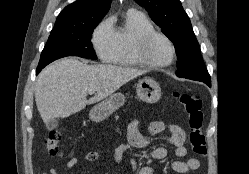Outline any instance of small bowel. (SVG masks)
<instances>
[{
	"instance_id": "c3829d8e",
	"label": "small bowel",
	"mask_w": 249,
	"mask_h": 174,
	"mask_svg": "<svg viewBox=\"0 0 249 174\" xmlns=\"http://www.w3.org/2000/svg\"><path fill=\"white\" fill-rule=\"evenodd\" d=\"M168 130L170 132V136L168 138L169 144L174 148V153L177 158H184L187 155V149L184 145L185 143V132L184 130L177 124L167 123L164 121H154L148 127V132L150 135H155L164 130ZM148 144V139L141 134L139 130V122L133 121L130 123L127 131V142L121 144L113 151V159L117 166H120L124 155L131 149L144 147ZM168 155V151L165 147H156L152 149L148 153V157L150 159L160 160L166 158ZM103 156L102 153L92 151L88 152L83 158L86 162H93L101 159ZM79 163V159L77 157H72L69 159L65 165V170H70L74 168ZM133 169L136 174H155L153 168L145 166L138 167L135 161H132ZM200 162L196 158H189L186 161L175 160L171 163V168L173 171L180 174H187L190 171H195L199 168ZM50 174H60V171L54 167H52L49 171Z\"/></svg>"
}]
</instances>
